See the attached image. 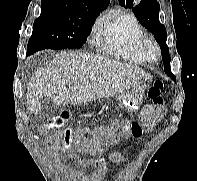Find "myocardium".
I'll return each mask as SVG.
<instances>
[{
	"mask_svg": "<svg viewBox=\"0 0 197 181\" xmlns=\"http://www.w3.org/2000/svg\"><path fill=\"white\" fill-rule=\"evenodd\" d=\"M140 51L148 62H154L160 57V48L157 42L148 36H144L139 44Z\"/></svg>",
	"mask_w": 197,
	"mask_h": 181,
	"instance_id": "obj_1",
	"label": "myocardium"
}]
</instances>
